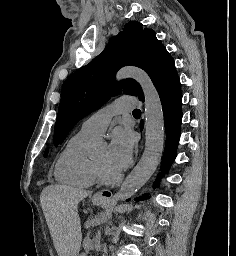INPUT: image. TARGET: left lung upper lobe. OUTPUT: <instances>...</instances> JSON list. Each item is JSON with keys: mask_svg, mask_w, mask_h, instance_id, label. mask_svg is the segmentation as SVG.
Masks as SVG:
<instances>
[{"mask_svg": "<svg viewBox=\"0 0 236 256\" xmlns=\"http://www.w3.org/2000/svg\"><path fill=\"white\" fill-rule=\"evenodd\" d=\"M127 65L146 71L155 87L175 70L171 55L155 32L130 21L110 39L100 55L65 82L54 129L55 145L61 144L78 121L100 108L111 96L123 92L139 99L143 97L141 86L134 79L114 80L116 72Z\"/></svg>", "mask_w": 236, "mask_h": 256, "instance_id": "left-lung-upper-lobe-1", "label": "left lung upper lobe"}]
</instances>
